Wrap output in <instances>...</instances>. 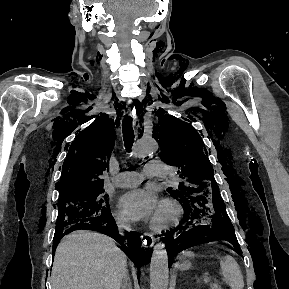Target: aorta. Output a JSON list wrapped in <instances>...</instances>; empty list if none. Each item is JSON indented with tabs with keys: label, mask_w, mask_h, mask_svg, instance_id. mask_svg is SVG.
Returning a JSON list of instances; mask_svg holds the SVG:
<instances>
[{
	"label": "aorta",
	"mask_w": 289,
	"mask_h": 289,
	"mask_svg": "<svg viewBox=\"0 0 289 289\" xmlns=\"http://www.w3.org/2000/svg\"><path fill=\"white\" fill-rule=\"evenodd\" d=\"M158 151V144L153 137H142L136 143L134 156L136 158L153 157ZM168 255L163 243L153 247L150 262V288L168 289Z\"/></svg>",
	"instance_id": "aorta-1"
}]
</instances>
